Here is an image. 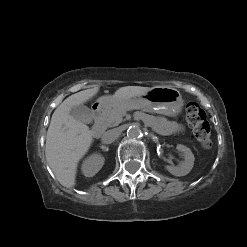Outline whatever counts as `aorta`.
I'll return each mask as SVG.
<instances>
[{"label":"aorta","instance_id":"aorta-1","mask_svg":"<svg viewBox=\"0 0 247 247\" xmlns=\"http://www.w3.org/2000/svg\"><path fill=\"white\" fill-rule=\"evenodd\" d=\"M140 135L141 129L136 125L130 126L127 130V136L131 139H137L140 137Z\"/></svg>","mask_w":247,"mask_h":247}]
</instances>
